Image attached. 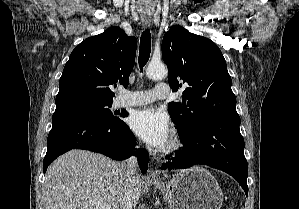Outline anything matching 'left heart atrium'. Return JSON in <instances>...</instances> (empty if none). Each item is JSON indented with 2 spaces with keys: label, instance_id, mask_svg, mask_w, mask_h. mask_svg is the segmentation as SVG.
Instances as JSON below:
<instances>
[{
  "label": "left heart atrium",
  "instance_id": "left-heart-atrium-1",
  "mask_svg": "<svg viewBox=\"0 0 299 209\" xmlns=\"http://www.w3.org/2000/svg\"><path fill=\"white\" fill-rule=\"evenodd\" d=\"M131 129L150 146L163 147L170 134L168 116L160 109L148 107L135 111L129 120Z\"/></svg>",
  "mask_w": 299,
  "mask_h": 209
}]
</instances>
